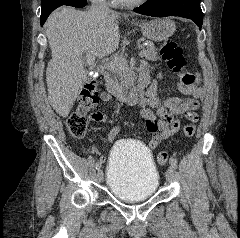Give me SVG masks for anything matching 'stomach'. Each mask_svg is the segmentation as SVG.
I'll list each match as a JSON object with an SVG mask.
<instances>
[{
	"instance_id": "stomach-1",
	"label": "stomach",
	"mask_w": 240,
	"mask_h": 238,
	"mask_svg": "<svg viewBox=\"0 0 240 238\" xmlns=\"http://www.w3.org/2000/svg\"><path fill=\"white\" fill-rule=\"evenodd\" d=\"M144 37L152 41H163L173 35L175 23L167 18H156L140 25Z\"/></svg>"
}]
</instances>
